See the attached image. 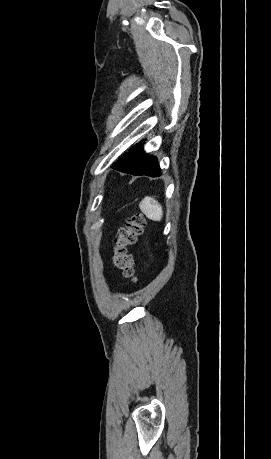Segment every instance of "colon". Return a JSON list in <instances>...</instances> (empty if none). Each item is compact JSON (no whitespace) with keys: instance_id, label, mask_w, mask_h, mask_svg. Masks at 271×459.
I'll list each match as a JSON object with an SVG mask.
<instances>
[{"instance_id":"5ec220e1","label":"colon","mask_w":271,"mask_h":459,"mask_svg":"<svg viewBox=\"0 0 271 459\" xmlns=\"http://www.w3.org/2000/svg\"><path fill=\"white\" fill-rule=\"evenodd\" d=\"M145 226V220L139 213L134 214L122 227L115 240V246L112 256V266L129 279L136 280L137 268L136 263L131 255L129 248L133 246L138 237L142 234Z\"/></svg>"}]
</instances>
